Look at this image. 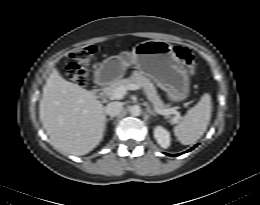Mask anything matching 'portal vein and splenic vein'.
Instances as JSON below:
<instances>
[{"label": "portal vein and splenic vein", "mask_w": 260, "mask_h": 205, "mask_svg": "<svg viewBox=\"0 0 260 205\" xmlns=\"http://www.w3.org/2000/svg\"><path fill=\"white\" fill-rule=\"evenodd\" d=\"M140 89H141V86L138 84H129L127 86H121L115 90L113 98L119 100V99L123 98V96L126 94V92L128 90H140ZM147 98L150 101L148 96H147ZM154 109H155V112L160 115L168 116L170 114H174L177 117L180 116L179 112H177L175 109H166V110H160L157 108H154ZM177 119L178 118L174 119V121H177Z\"/></svg>", "instance_id": "1"}]
</instances>
